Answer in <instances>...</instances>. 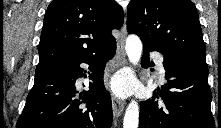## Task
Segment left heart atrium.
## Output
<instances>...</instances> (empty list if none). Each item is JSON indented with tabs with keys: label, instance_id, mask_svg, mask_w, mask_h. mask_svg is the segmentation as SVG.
Here are the masks:
<instances>
[{
	"label": "left heart atrium",
	"instance_id": "obj_1",
	"mask_svg": "<svg viewBox=\"0 0 221 128\" xmlns=\"http://www.w3.org/2000/svg\"><path fill=\"white\" fill-rule=\"evenodd\" d=\"M131 88V82L125 75H120L114 78L112 82V89L118 96H125Z\"/></svg>",
	"mask_w": 221,
	"mask_h": 128
}]
</instances>
